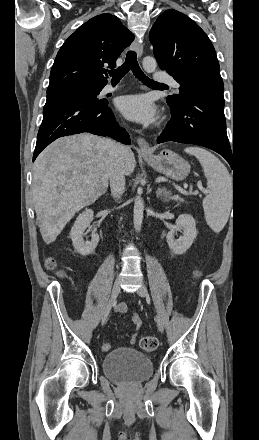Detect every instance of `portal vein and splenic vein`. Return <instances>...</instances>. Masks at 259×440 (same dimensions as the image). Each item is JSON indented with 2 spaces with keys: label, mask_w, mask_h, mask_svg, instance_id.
<instances>
[{
  "label": "portal vein and splenic vein",
  "mask_w": 259,
  "mask_h": 440,
  "mask_svg": "<svg viewBox=\"0 0 259 440\" xmlns=\"http://www.w3.org/2000/svg\"><path fill=\"white\" fill-rule=\"evenodd\" d=\"M201 190H202V192H203L204 194H207V193L209 192L208 190L203 189V188H201ZM197 193H198V192L195 191V192H193L192 194H193V195H196ZM185 194H188V193H185ZM172 199H174V200H180V197H179L178 195H175V196L172 197Z\"/></svg>",
  "instance_id": "18ae733b"
}]
</instances>
